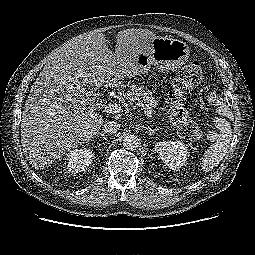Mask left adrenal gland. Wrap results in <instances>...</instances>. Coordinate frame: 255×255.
I'll use <instances>...</instances> for the list:
<instances>
[{
  "label": "left adrenal gland",
  "instance_id": "left-adrenal-gland-1",
  "mask_svg": "<svg viewBox=\"0 0 255 255\" xmlns=\"http://www.w3.org/2000/svg\"><path fill=\"white\" fill-rule=\"evenodd\" d=\"M146 129H148L150 135L153 134L155 131L159 130V128L151 129L149 126L146 127Z\"/></svg>",
  "mask_w": 255,
  "mask_h": 255
}]
</instances>
